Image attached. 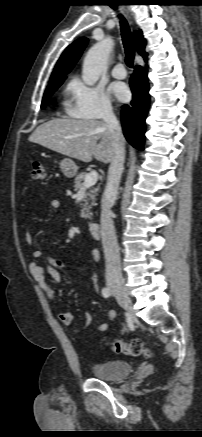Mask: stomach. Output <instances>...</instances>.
I'll use <instances>...</instances> for the list:
<instances>
[{
    "label": "stomach",
    "instance_id": "stomach-1",
    "mask_svg": "<svg viewBox=\"0 0 202 437\" xmlns=\"http://www.w3.org/2000/svg\"><path fill=\"white\" fill-rule=\"evenodd\" d=\"M60 169L67 178L74 177L78 172V166L69 158L63 159L60 163Z\"/></svg>",
    "mask_w": 202,
    "mask_h": 437
}]
</instances>
